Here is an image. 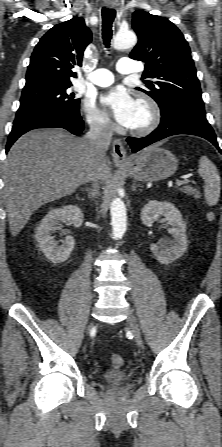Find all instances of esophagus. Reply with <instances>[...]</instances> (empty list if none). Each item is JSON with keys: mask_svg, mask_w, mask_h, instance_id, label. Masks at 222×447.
<instances>
[{"mask_svg": "<svg viewBox=\"0 0 222 447\" xmlns=\"http://www.w3.org/2000/svg\"><path fill=\"white\" fill-rule=\"evenodd\" d=\"M114 4V0H105V5L108 8H113ZM112 157L116 164H123L127 159V151L119 138H116L113 141Z\"/></svg>", "mask_w": 222, "mask_h": 447, "instance_id": "esophagus-1", "label": "esophagus"}]
</instances>
